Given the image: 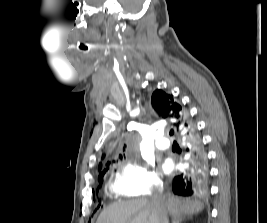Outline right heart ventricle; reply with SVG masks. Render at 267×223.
Returning <instances> with one entry per match:
<instances>
[{"label": "right heart ventricle", "instance_id": "obj_1", "mask_svg": "<svg viewBox=\"0 0 267 223\" xmlns=\"http://www.w3.org/2000/svg\"><path fill=\"white\" fill-rule=\"evenodd\" d=\"M108 194L111 196H117V195H123L122 193H120L117 188L115 187L114 184H112L108 190Z\"/></svg>", "mask_w": 267, "mask_h": 223}]
</instances>
